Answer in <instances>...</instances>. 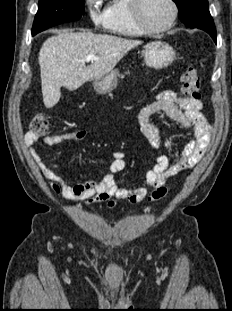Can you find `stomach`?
Here are the masks:
<instances>
[{"label":"stomach","mask_w":232,"mask_h":311,"mask_svg":"<svg viewBox=\"0 0 232 311\" xmlns=\"http://www.w3.org/2000/svg\"><path fill=\"white\" fill-rule=\"evenodd\" d=\"M144 60L148 67L154 69L166 68L176 59L172 46L162 41L148 43L143 50ZM93 89L98 94H105L117 86V71H111L106 76L93 80Z\"/></svg>","instance_id":"1"}]
</instances>
